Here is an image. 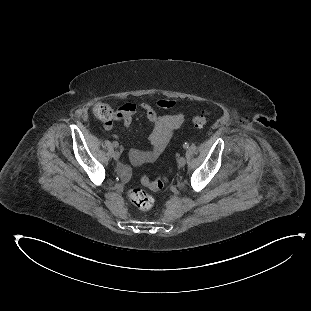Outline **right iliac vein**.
I'll return each instance as SVG.
<instances>
[{"mask_svg":"<svg viewBox=\"0 0 311 311\" xmlns=\"http://www.w3.org/2000/svg\"><path fill=\"white\" fill-rule=\"evenodd\" d=\"M112 156H113L114 160L118 161L120 158V153L118 151H115Z\"/></svg>","mask_w":311,"mask_h":311,"instance_id":"1","label":"right iliac vein"}]
</instances>
